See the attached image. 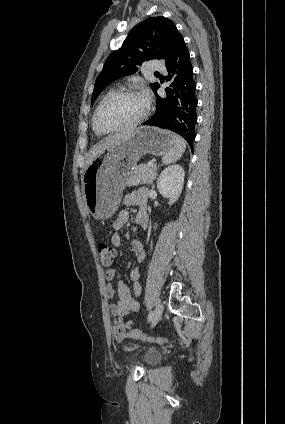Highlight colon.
Here are the masks:
<instances>
[{"instance_id": "5ec220e1", "label": "colon", "mask_w": 285, "mask_h": 424, "mask_svg": "<svg viewBox=\"0 0 285 424\" xmlns=\"http://www.w3.org/2000/svg\"><path fill=\"white\" fill-rule=\"evenodd\" d=\"M98 253H99L101 262L104 265H111L114 262V260L116 258V254H117L116 250L113 247L108 246L105 243H99L98 244ZM130 334L135 339H141L143 337V334L136 329H131ZM152 341L163 344L165 340L162 339V338H158V339H155V340H152Z\"/></svg>"}]
</instances>
